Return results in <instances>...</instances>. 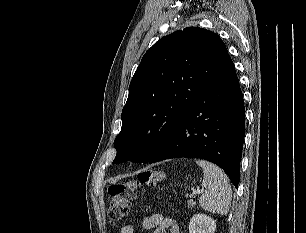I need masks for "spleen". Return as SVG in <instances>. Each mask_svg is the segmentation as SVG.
<instances>
[{
    "mask_svg": "<svg viewBox=\"0 0 306 233\" xmlns=\"http://www.w3.org/2000/svg\"><path fill=\"white\" fill-rule=\"evenodd\" d=\"M196 163L203 169L202 188L205 193L200 196L201 208L209 212L226 215L232 199V190L225 172L210 162L197 160Z\"/></svg>",
    "mask_w": 306,
    "mask_h": 233,
    "instance_id": "3e777b00",
    "label": "spleen"
}]
</instances>
